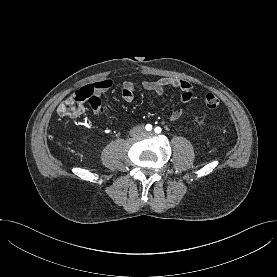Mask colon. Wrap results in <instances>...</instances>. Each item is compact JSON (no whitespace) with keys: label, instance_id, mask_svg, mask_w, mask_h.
Masks as SVG:
<instances>
[{"label":"colon","instance_id":"colon-1","mask_svg":"<svg viewBox=\"0 0 277 277\" xmlns=\"http://www.w3.org/2000/svg\"><path fill=\"white\" fill-rule=\"evenodd\" d=\"M92 99L91 91L86 89L78 90L60 104L58 114L62 117H78L84 113L85 103L87 101L90 103ZM204 102L209 109H215L219 105V99L213 93L206 94Z\"/></svg>","mask_w":277,"mask_h":277}]
</instances>
